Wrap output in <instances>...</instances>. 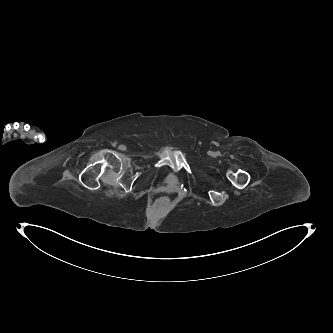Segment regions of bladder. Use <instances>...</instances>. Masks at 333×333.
Segmentation results:
<instances>
[{
	"instance_id": "bladder-1",
	"label": "bladder",
	"mask_w": 333,
	"mask_h": 333,
	"mask_svg": "<svg viewBox=\"0 0 333 333\" xmlns=\"http://www.w3.org/2000/svg\"><path fill=\"white\" fill-rule=\"evenodd\" d=\"M165 179L169 185H174L179 181V175L173 171H167L165 174Z\"/></svg>"
}]
</instances>
